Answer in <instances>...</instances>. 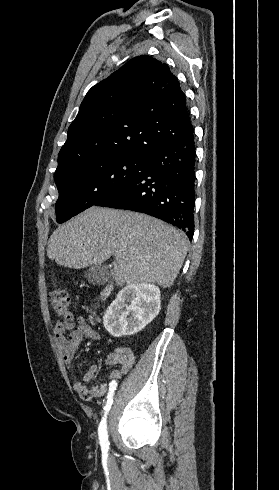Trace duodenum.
Instances as JSON below:
<instances>
[{
  "instance_id": "410a0bca",
  "label": "duodenum",
  "mask_w": 279,
  "mask_h": 490,
  "mask_svg": "<svg viewBox=\"0 0 279 490\" xmlns=\"http://www.w3.org/2000/svg\"><path fill=\"white\" fill-rule=\"evenodd\" d=\"M112 288H113V285L112 284H108L102 291L101 293V299H105L106 297H108L112 291Z\"/></svg>"
}]
</instances>
